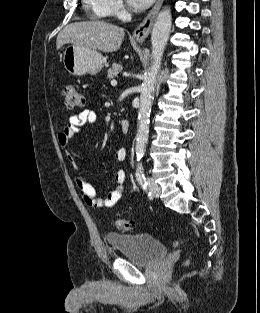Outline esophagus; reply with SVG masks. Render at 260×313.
Returning <instances> with one entry per match:
<instances>
[{"mask_svg":"<svg viewBox=\"0 0 260 313\" xmlns=\"http://www.w3.org/2000/svg\"><path fill=\"white\" fill-rule=\"evenodd\" d=\"M164 0H157L153 8L145 17L143 22L134 30L133 36L137 41H145L151 32L156 16Z\"/></svg>","mask_w":260,"mask_h":313,"instance_id":"1","label":"esophagus"}]
</instances>
